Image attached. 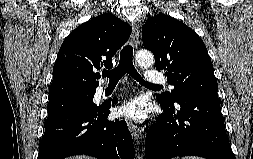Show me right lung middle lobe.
I'll return each instance as SVG.
<instances>
[{"mask_svg": "<svg viewBox=\"0 0 253 159\" xmlns=\"http://www.w3.org/2000/svg\"><path fill=\"white\" fill-rule=\"evenodd\" d=\"M94 92L50 100L47 105L48 117L45 127L66 114L83 107H94Z\"/></svg>", "mask_w": 253, "mask_h": 159, "instance_id": "right-lung-middle-lobe-1", "label": "right lung middle lobe"}]
</instances>
